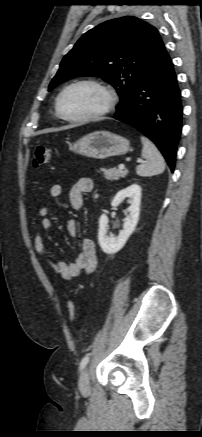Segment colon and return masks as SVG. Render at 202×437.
Returning a JSON list of instances; mask_svg holds the SVG:
<instances>
[{"label":"colon","instance_id":"obj_1","mask_svg":"<svg viewBox=\"0 0 202 437\" xmlns=\"http://www.w3.org/2000/svg\"><path fill=\"white\" fill-rule=\"evenodd\" d=\"M52 150L44 146H37L33 153L32 163L34 167H40L51 160ZM68 317L71 321L76 319L77 308L74 301H69L68 305Z\"/></svg>","mask_w":202,"mask_h":437}]
</instances>
